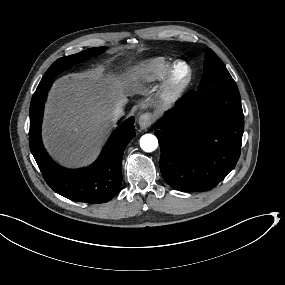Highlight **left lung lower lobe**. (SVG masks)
<instances>
[{
    "mask_svg": "<svg viewBox=\"0 0 285 285\" xmlns=\"http://www.w3.org/2000/svg\"><path fill=\"white\" fill-rule=\"evenodd\" d=\"M158 127L165 181L185 192L214 188L240 156L244 115L237 86H212L182 101L165 113Z\"/></svg>",
    "mask_w": 285,
    "mask_h": 285,
    "instance_id": "left-lung-lower-lobe-1",
    "label": "left lung lower lobe"
}]
</instances>
